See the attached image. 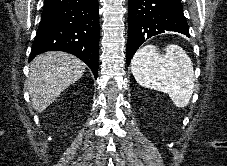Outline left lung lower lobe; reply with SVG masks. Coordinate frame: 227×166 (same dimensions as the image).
I'll return each instance as SVG.
<instances>
[{"label": "left lung lower lobe", "mask_w": 227, "mask_h": 166, "mask_svg": "<svg viewBox=\"0 0 227 166\" xmlns=\"http://www.w3.org/2000/svg\"><path fill=\"white\" fill-rule=\"evenodd\" d=\"M165 31L190 37L180 0H129L127 65L142 43Z\"/></svg>", "instance_id": "obj_1"}]
</instances>
